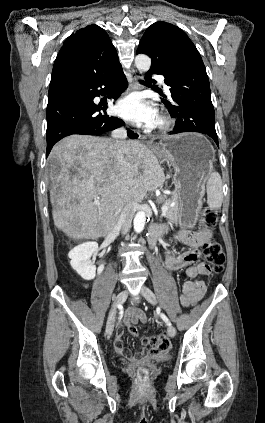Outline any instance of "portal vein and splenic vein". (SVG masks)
<instances>
[{
	"label": "portal vein and splenic vein",
	"instance_id": "portal-vein-and-splenic-vein-1",
	"mask_svg": "<svg viewBox=\"0 0 265 423\" xmlns=\"http://www.w3.org/2000/svg\"><path fill=\"white\" fill-rule=\"evenodd\" d=\"M93 203L97 206L100 205V201L98 199H95ZM167 210H168V207L166 205H162L161 207L162 213L165 214Z\"/></svg>",
	"mask_w": 265,
	"mask_h": 423
}]
</instances>
